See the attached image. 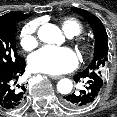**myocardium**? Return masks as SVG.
<instances>
[{"label": "myocardium", "mask_w": 117, "mask_h": 117, "mask_svg": "<svg viewBox=\"0 0 117 117\" xmlns=\"http://www.w3.org/2000/svg\"><path fill=\"white\" fill-rule=\"evenodd\" d=\"M77 46H78L79 50L81 51V53L86 54L89 52L90 47H89V44L87 42L78 41Z\"/></svg>", "instance_id": "f54148a6"}]
</instances>
